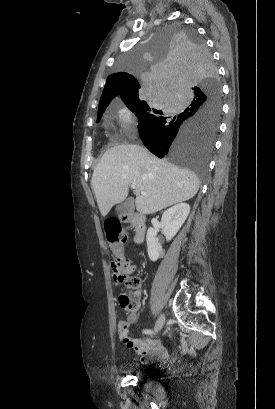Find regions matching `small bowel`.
I'll use <instances>...</instances> for the list:
<instances>
[{
  "label": "small bowel",
  "mask_w": 275,
  "mask_h": 409,
  "mask_svg": "<svg viewBox=\"0 0 275 409\" xmlns=\"http://www.w3.org/2000/svg\"><path fill=\"white\" fill-rule=\"evenodd\" d=\"M126 270L131 271L132 268L127 267ZM122 278L123 275L120 273V269L114 268L113 273L111 274V282L115 286H124L126 281ZM118 329L120 330L119 339L123 349L126 347L127 351H134L136 347L135 345H137L142 360L152 361L165 359L166 349L157 339H150L147 341L136 340V338L132 337L130 333H127V327L124 323H119Z\"/></svg>",
  "instance_id": "obj_1"
}]
</instances>
